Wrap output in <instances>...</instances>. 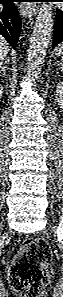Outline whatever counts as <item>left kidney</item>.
<instances>
[{
    "instance_id": "1",
    "label": "left kidney",
    "mask_w": 63,
    "mask_h": 297,
    "mask_svg": "<svg viewBox=\"0 0 63 297\" xmlns=\"http://www.w3.org/2000/svg\"><path fill=\"white\" fill-rule=\"evenodd\" d=\"M56 101L59 105H63V83H58L56 87V93H55Z\"/></svg>"
}]
</instances>
